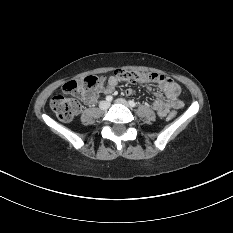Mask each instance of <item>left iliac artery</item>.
Listing matches in <instances>:
<instances>
[{
    "instance_id": "left-iliac-artery-1",
    "label": "left iliac artery",
    "mask_w": 233,
    "mask_h": 233,
    "mask_svg": "<svg viewBox=\"0 0 233 233\" xmlns=\"http://www.w3.org/2000/svg\"><path fill=\"white\" fill-rule=\"evenodd\" d=\"M129 105L131 107H136V103L133 100H129Z\"/></svg>"
}]
</instances>
